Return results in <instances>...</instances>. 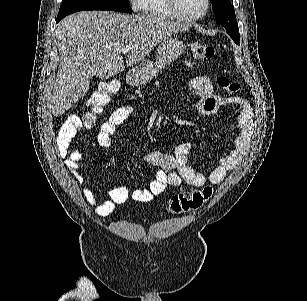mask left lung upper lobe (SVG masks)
I'll list each match as a JSON object with an SVG mask.
<instances>
[{
	"mask_svg": "<svg viewBox=\"0 0 307 301\" xmlns=\"http://www.w3.org/2000/svg\"><path fill=\"white\" fill-rule=\"evenodd\" d=\"M213 4V12L216 16L217 22L224 26L227 33L234 40L236 44H239L240 35L238 24L236 20L235 11L231 5L230 0H210Z\"/></svg>",
	"mask_w": 307,
	"mask_h": 301,
	"instance_id": "obj_1",
	"label": "left lung upper lobe"
}]
</instances>
